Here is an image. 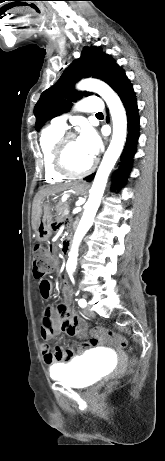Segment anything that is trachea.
<instances>
[{"instance_id": "3493384b", "label": "trachea", "mask_w": 165, "mask_h": 461, "mask_svg": "<svg viewBox=\"0 0 165 461\" xmlns=\"http://www.w3.org/2000/svg\"><path fill=\"white\" fill-rule=\"evenodd\" d=\"M102 115H103L102 112H99V113L96 114V116H102Z\"/></svg>"}]
</instances>
